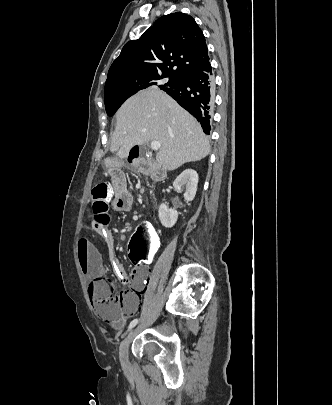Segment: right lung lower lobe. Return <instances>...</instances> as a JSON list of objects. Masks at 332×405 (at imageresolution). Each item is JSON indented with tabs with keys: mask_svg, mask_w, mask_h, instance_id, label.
<instances>
[{
	"mask_svg": "<svg viewBox=\"0 0 332 405\" xmlns=\"http://www.w3.org/2000/svg\"><path fill=\"white\" fill-rule=\"evenodd\" d=\"M214 88L212 68L207 61L183 74L177 86L166 92L201 123L204 133L210 134Z\"/></svg>",
	"mask_w": 332,
	"mask_h": 405,
	"instance_id": "obj_1",
	"label": "right lung lower lobe"
}]
</instances>
